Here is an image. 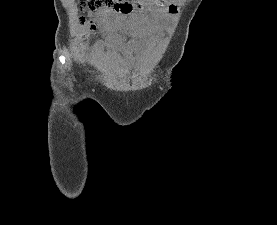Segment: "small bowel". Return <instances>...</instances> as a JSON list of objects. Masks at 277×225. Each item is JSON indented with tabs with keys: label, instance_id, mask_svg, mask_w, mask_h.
I'll list each match as a JSON object with an SVG mask.
<instances>
[{
	"label": "small bowel",
	"instance_id": "1",
	"mask_svg": "<svg viewBox=\"0 0 277 225\" xmlns=\"http://www.w3.org/2000/svg\"><path fill=\"white\" fill-rule=\"evenodd\" d=\"M176 9L175 4L165 2L158 4L151 14L141 11L134 16L125 17L107 11V15L99 19L105 46L120 60L131 62L145 46L155 41L159 31L173 19ZM122 36H127L129 40L124 42Z\"/></svg>",
	"mask_w": 277,
	"mask_h": 225
}]
</instances>
